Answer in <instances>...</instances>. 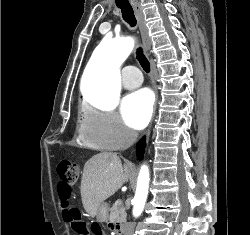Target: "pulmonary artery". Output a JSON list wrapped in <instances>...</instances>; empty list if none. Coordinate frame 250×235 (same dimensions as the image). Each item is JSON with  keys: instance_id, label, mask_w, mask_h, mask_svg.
Returning a JSON list of instances; mask_svg holds the SVG:
<instances>
[{"instance_id": "obj_1", "label": "pulmonary artery", "mask_w": 250, "mask_h": 235, "mask_svg": "<svg viewBox=\"0 0 250 235\" xmlns=\"http://www.w3.org/2000/svg\"><path fill=\"white\" fill-rule=\"evenodd\" d=\"M142 84V75L135 66H127L122 72V85L126 89H134Z\"/></svg>"}]
</instances>
